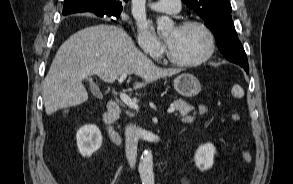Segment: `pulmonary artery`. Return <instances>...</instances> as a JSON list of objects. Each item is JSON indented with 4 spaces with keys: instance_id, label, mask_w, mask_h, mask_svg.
I'll return each instance as SVG.
<instances>
[{
    "instance_id": "obj_1",
    "label": "pulmonary artery",
    "mask_w": 293,
    "mask_h": 184,
    "mask_svg": "<svg viewBox=\"0 0 293 184\" xmlns=\"http://www.w3.org/2000/svg\"><path fill=\"white\" fill-rule=\"evenodd\" d=\"M149 7L155 11L175 14L181 10L180 0H159L149 4Z\"/></svg>"
}]
</instances>
